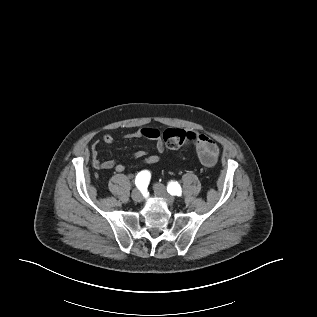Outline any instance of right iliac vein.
Masks as SVG:
<instances>
[{
  "instance_id": "1",
  "label": "right iliac vein",
  "mask_w": 317,
  "mask_h": 317,
  "mask_svg": "<svg viewBox=\"0 0 317 317\" xmlns=\"http://www.w3.org/2000/svg\"><path fill=\"white\" fill-rule=\"evenodd\" d=\"M132 199L135 201V202H141L143 200V196H142V193L140 190L138 189H134L132 191Z\"/></svg>"
}]
</instances>
